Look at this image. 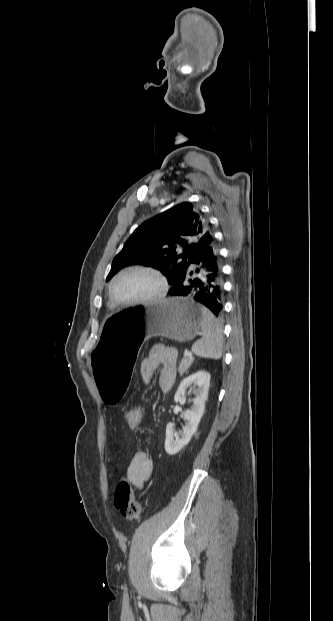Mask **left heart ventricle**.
I'll return each instance as SVG.
<instances>
[{
    "mask_svg": "<svg viewBox=\"0 0 333 621\" xmlns=\"http://www.w3.org/2000/svg\"><path fill=\"white\" fill-rule=\"evenodd\" d=\"M159 288L155 276L145 272H131L115 282L113 293L120 301H133L152 296Z\"/></svg>",
    "mask_w": 333,
    "mask_h": 621,
    "instance_id": "b2bd125f",
    "label": "left heart ventricle"
}]
</instances>
